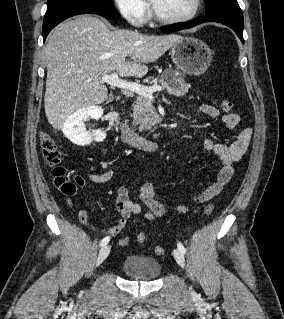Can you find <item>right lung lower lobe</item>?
Masks as SVG:
<instances>
[{"label": "right lung lower lobe", "mask_w": 284, "mask_h": 319, "mask_svg": "<svg viewBox=\"0 0 284 319\" xmlns=\"http://www.w3.org/2000/svg\"><path fill=\"white\" fill-rule=\"evenodd\" d=\"M97 14L102 15L111 19H119L120 14L115 10V8H93V9H75L70 11H65L63 13H60L54 17H52L49 20L43 21V40H46L47 35L49 32L59 23H61L63 20L70 18L75 15L79 14Z\"/></svg>", "instance_id": "obj_1"}]
</instances>
